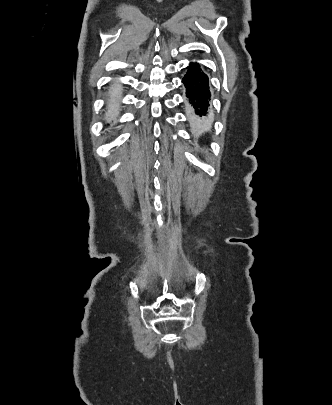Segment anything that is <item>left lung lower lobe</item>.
<instances>
[{
	"mask_svg": "<svg viewBox=\"0 0 332 405\" xmlns=\"http://www.w3.org/2000/svg\"><path fill=\"white\" fill-rule=\"evenodd\" d=\"M187 68L188 71L182 80L186 87L187 114L192 128L202 131L213 120L210 109L209 80L198 63H190Z\"/></svg>",
	"mask_w": 332,
	"mask_h": 405,
	"instance_id": "0a47b994",
	"label": "left lung lower lobe"
}]
</instances>
